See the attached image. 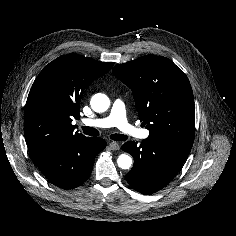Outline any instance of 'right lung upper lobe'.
<instances>
[{"instance_id": "1", "label": "right lung upper lobe", "mask_w": 236, "mask_h": 236, "mask_svg": "<svg viewBox=\"0 0 236 236\" xmlns=\"http://www.w3.org/2000/svg\"><path fill=\"white\" fill-rule=\"evenodd\" d=\"M113 63L98 62L76 54L62 55L49 63L34 81L24 116V135L31 159L86 139L75 132L83 91L106 74Z\"/></svg>"}]
</instances>
